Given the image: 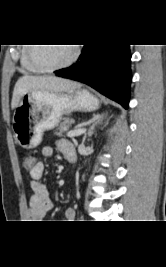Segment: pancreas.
I'll use <instances>...</instances> for the list:
<instances>
[{
  "label": "pancreas",
  "instance_id": "obj_1",
  "mask_svg": "<svg viewBox=\"0 0 166 267\" xmlns=\"http://www.w3.org/2000/svg\"><path fill=\"white\" fill-rule=\"evenodd\" d=\"M74 123L73 120L65 119L62 123H60L59 127L56 129L55 134L58 137L64 135V133L70 128V126Z\"/></svg>",
  "mask_w": 166,
  "mask_h": 267
}]
</instances>
